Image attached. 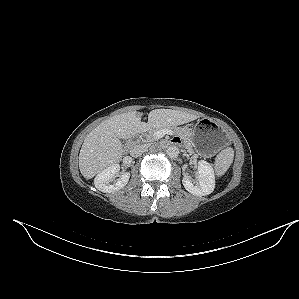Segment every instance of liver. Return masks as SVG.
Returning <instances> with one entry per match:
<instances>
[{
  "instance_id": "liver-1",
  "label": "liver",
  "mask_w": 299,
  "mask_h": 299,
  "mask_svg": "<svg viewBox=\"0 0 299 299\" xmlns=\"http://www.w3.org/2000/svg\"><path fill=\"white\" fill-rule=\"evenodd\" d=\"M141 116L142 113L131 111L110 117L86 136L79 154V169L84 178L91 179L121 160L123 145L120 139L131 138L149 128L181 125L199 118L171 109L152 110L147 123L141 121Z\"/></svg>"
}]
</instances>
